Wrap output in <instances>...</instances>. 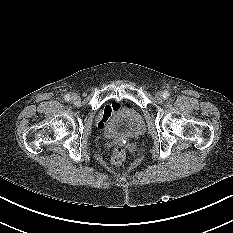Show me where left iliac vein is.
Returning <instances> with one entry per match:
<instances>
[{"instance_id":"4c4485c4","label":"left iliac vein","mask_w":233,"mask_h":233,"mask_svg":"<svg viewBox=\"0 0 233 233\" xmlns=\"http://www.w3.org/2000/svg\"><path fill=\"white\" fill-rule=\"evenodd\" d=\"M156 98L159 99V100H162L163 99V92L162 91H159L156 93Z\"/></svg>"}]
</instances>
